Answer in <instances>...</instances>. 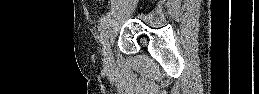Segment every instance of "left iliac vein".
I'll use <instances>...</instances> for the list:
<instances>
[{
	"instance_id": "1",
	"label": "left iliac vein",
	"mask_w": 259,
	"mask_h": 94,
	"mask_svg": "<svg viewBox=\"0 0 259 94\" xmlns=\"http://www.w3.org/2000/svg\"><path fill=\"white\" fill-rule=\"evenodd\" d=\"M114 24V19H110L107 23L108 31L107 34L102 42V55H103V62L106 65H109L112 60L111 56V46H110V38L112 35V27Z\"/></svg>"
}]
</instances>
